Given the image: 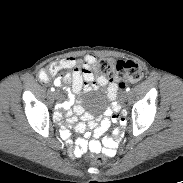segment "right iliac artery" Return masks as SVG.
Returning a JSON list of instances; mask_svg holds the SVG:
<instances>
[{
  "instance_id": "1",
  "label": "right iliac artery",
  "mask_w": 183,
  "mask_h": 183,
  "mask_svg": "<svg viewBox=\"0 0 183 183\" xmlns=\"http://www.w3.org/2000/svg\"><path fill=\"white\" fill-rule=\"evenodd\" d=\"M51 91H55V88L52 87V88H51ZM57 107H58V106H56L55 108H57Z\"/></svg>"
}]
</instances>
